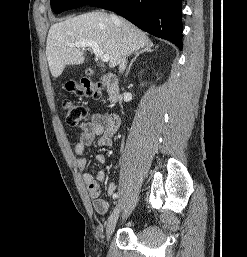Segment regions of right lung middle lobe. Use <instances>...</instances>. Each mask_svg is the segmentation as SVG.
I'll return each instance as SVG.
<instances>
[{
	"label": "right lung middle lobe",
	"mask_w": 247,
	"mask_h": 257,
	"mask_svg": "<svg viewBox=\"0 0 247 257\" xmlns=\"http://www.w3.org/2000/svg\"><path fill=\"white\" fill-rule=\"evenodd\" d=\"M94 0H50L53 11L57 14L69 10L75 9L87 4H90Z\"/></svg>",
	"instance_id": "1"
}]
</instances>
